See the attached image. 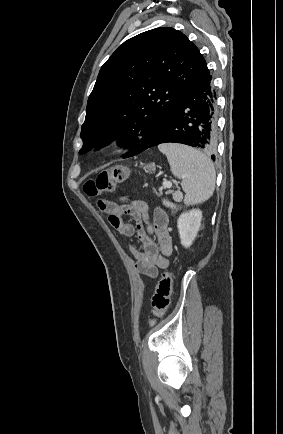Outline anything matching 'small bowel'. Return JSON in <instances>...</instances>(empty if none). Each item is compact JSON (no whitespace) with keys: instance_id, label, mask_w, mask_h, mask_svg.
<instances>
[{"instance_id":"obj_1","label":"small bowel","mask_w":283,"mask_h":434,"mask_svg":"<svg viewBox=\"0 0 283 434\" xmlns=\"http://www.w3.org/2000/svg\"><path fill=\"white\" fill-rule=\"evenodd\" d=\"M99 206L108 213L109 223L122 236L130 239L136 234L143 243L144 248L141 251L129 244V249L136 258L135 266L138 272L156 278L159 269L169 266L172 239L168 229V217L163 209L157 208L151 213L148 203L143 200L121 205L102 201ZM124 216L132 217L135 225L126 222Z\"/></svg>"}]
</instances>
